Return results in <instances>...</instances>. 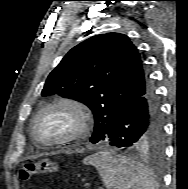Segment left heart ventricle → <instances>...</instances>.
Returning a JSON list of instances; mask_svg holds the SVG:
<instances>
[{
	"instance_id": "b2bd125f",
	"label": "left heart ventricle",
	"mask_w": 188,
	"mask_h": 189,
	"mask_svg": "<svg viewBox=\"0 0 188 189\" xmlns=\"http://www.w3.org/2000/svg\"><path fill=\"white\" fill-rule=\"evenodd\" d=\"M75 126L74 115L69 110L53 109L39 119L36 134L42 140H53L67 135Z\"/></svg>"
}]
</instances>
